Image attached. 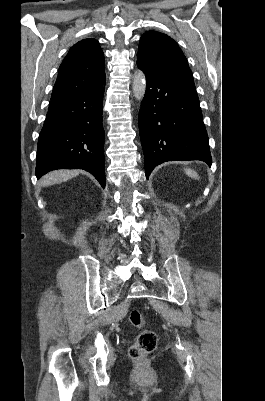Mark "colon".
Instances as JSON below:
<instances>
[{"label":"colon","mask_w":265,"mask_h":401,"mask_svg":"<svg viewBox=\"0 0 265 401\" xmlns=\"http://www.w3.org/2000/svg\"><path fill=\"white\" fill-rule=\"evenodd\" d=\"M130 323L135 327H143L145 324L142 313L138 310H132L129 314ZM157 335L154 331L143 330L135 339L130 348V356L133 359L139 360L146 357L154 351L157 346Z\"/></svg>","instance_id":"colon-1"}]
</instances>
